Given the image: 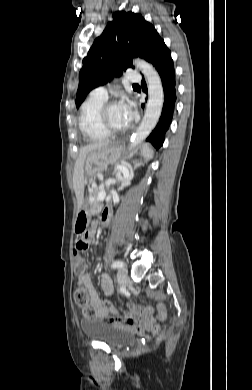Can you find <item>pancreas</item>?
<instances>
[{"instance_id":"obj_1","label":"pancreas","mask_w":252,"mask_h":390,"mask_svg":"<svg viewBox=\"0 0 252 390\" xmlns=\"http://www.w3.org/2000/svg\"><path fill=\"white\" fill-rule=\"evenodd\" d=\"M88 202L91 206V216L97 217L99 211L101 210L102 205L99 204L98 202H92L91 197H89V196H88Z\"/></svg>"}]
</instances>
